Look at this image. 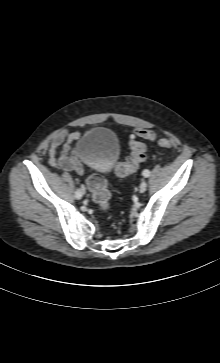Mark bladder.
I'll return each instance as SVG.
<instances>
[{
	"mask_svg": "<svg viewBox=\"0 0 220 363\" xmlns=\"http://www.w3.org/2000/svg\"><path fill=\"white\" fill-rule=\"evenodd\" d=\"M76 149L80 159L93 169L113 166L120 154L114 132L103 127L86 131L79 138Z\"/></svg>",
	"mask_w": 220,
	"mask_h": 363,
	"instance_id": "31cf9c89",
	"label": "bladder"
}]
</instances>
